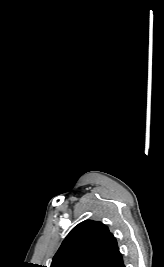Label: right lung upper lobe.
<instances>
[{
  "instance_id": "obj_1",
  "label": "right lung upper lobe",
  "mask_w": 164,
  "mask_h": 267,
  "mask_svg": "<svg viewBox=\"0 0 164 267\" xmlns=\"http://www.w3.org/2000/svg\"><path fill=\"white\" fill-rule=\"evenodd\" d=\"M117 252L116 239L109 229L101 222L86 220L64 239L51 267H100Z\"/></svg>"
}]
</instances>
